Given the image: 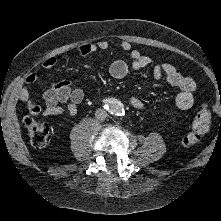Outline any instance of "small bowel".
Here are the masks:
<instances>
[{
  "mask_svg": "<svg viewBox=\"0 0 221 221\" xmlns=\"http://www.w3.org/2000/svg\"><path fill=\"white\" fill-rule=\"evenodd\" d=\"M120 47L129 53L131 58V67L140 70L151 63L150 57L143 55L139 50L132 47L126 40L119 41ZM109 48L106 40H100L96 43H84L77 48V52L82 56H89L97 51H105ZM58 64L56 57L48 58L44 67L51 69ZM88 69L89 65H85ZM129 71V65L122 60L115 61L110 66V74L116 79L124 78ZM153 76L157 81L165 80L169 85L178 89L175 102L179 109H189L194 103V93L196 91L195 81L181 74L173 65L169 63H159L153 68ZM39 79V74L33 73L28 76L27 82L33 83ZM20 100L26 104L30 113L36 115L41 113L43 116H55L66 113L73 117L77 114L78 105L82 102L84 94L80 88L74 87L69 80H63L53 83L43 93L44 108L32 101L31 95L26 88L20 91ZM129 103L137 110L144 109V103L136 96L129 98Z\"/></svg>",
  "mask_w": 221,
  "mask_h": 221,
  "instance_id": "1",
  "label": "small bowel"
}]
</instances>
